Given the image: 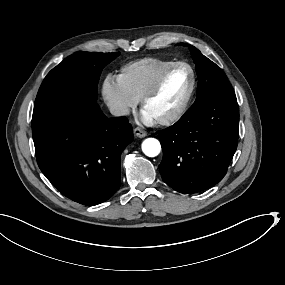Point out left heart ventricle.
Instances as JSON below:
<instances>
[{
  "label": "left heart ventricle",
  "mask_w": 285,
  "mask_h": 285,
  "mask_svg": "<svg viewBox=\"0 0 285 285\" xmlns=\"http://www.w3.org/2000/svg\"><path fill=\"white\" fill-rule=\"evenodd\" d=\"M190 83L185 73L173 74L144 106V110L153 114L157 119L174 112L183 103Z\"/></svg>",
  "instance_id": "1"
}]
</instances>
